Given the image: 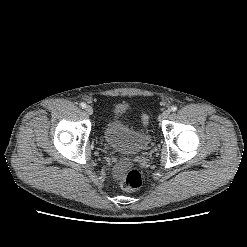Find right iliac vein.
<instances>
[{"label":"right iliac vein","mask_w":247,"mask_h":247,"mask_svg":"<svg viewBox=\"0 0 247 247\" xmlns=\"http://www.w3.org/2000/svg\"><path fill=\"white\" fill-rule=\"evenodd\" d=\"M85 111L89 115L93 114V108L91 106H86Z\"/></svg>","instance_id":"obj_1"}]
</instances>
